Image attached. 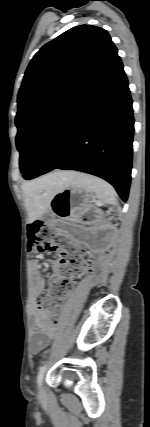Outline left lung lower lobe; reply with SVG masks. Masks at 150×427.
I'll return each instance as SVG.
<instances>
[{"label": "left lung lower lobe", "mask_w": 150, "mask_h": 427, "mask_svg": "<svg viewBox=\"0 0 150 427\" xmlns=\"http://www.w3.org/2000/svg\"><path fill=\"white\" fill-rule=\"evenodd\" d=\"M133 125L128 81L116 54L50 126L23 177L33 179L54 169L82 171L108 181L126 201Z\"/></svg>", "instance_id": "left-lung-lower-lobe-1"}]
</instances>
